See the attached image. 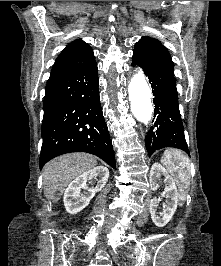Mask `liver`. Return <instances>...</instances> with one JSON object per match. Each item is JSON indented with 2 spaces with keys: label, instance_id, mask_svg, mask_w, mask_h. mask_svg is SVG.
<instances>
[{
  "label": "liver",
  "instance_id": "6515ba94",
  "mask_svg": "<svg viewBox=\"0 0 221 266\" xmlns=\"http://www.w3.org/2000/svg\"><path fill=\"white\" fill-rule=\"evenodd\" d=\"M97 165L96 157L88 153H70L48 162L43 169L44 195L58 202L68 184L77 176Z\"/></svg>",
  "mask_w": 221,
  "mask_h": 266
}]
</instances>
